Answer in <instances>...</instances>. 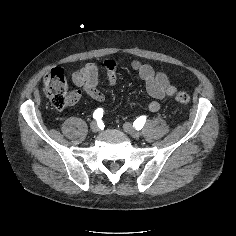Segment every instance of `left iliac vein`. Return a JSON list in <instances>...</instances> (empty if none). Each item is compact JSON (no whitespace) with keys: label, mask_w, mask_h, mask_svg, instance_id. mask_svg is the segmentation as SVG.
<instances>
[{"label":"left iliac vein","mask_w":236,"mask_h":236,"mask_svg":"<svg viewBox=\"0 0 236 236\" xmlns=\"http://www.w3.org/2000/svg\"><path fill=\"white\" fill-rule=\"evenodd\" d=\"M123 129L126 133H128L129 135H131L133 138H139L141 133L139 131H137L132 125L131 123H124L123 124Z\"/></svg>","instance_id":"left-iliac-vein-1"}]
</instances>
